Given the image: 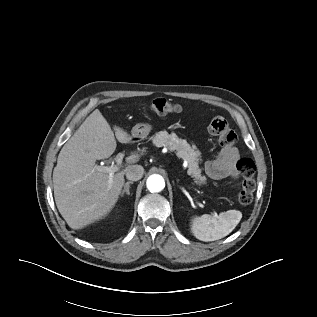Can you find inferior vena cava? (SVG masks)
<instances>
[{
	"label": "inferior vena cava",
	"mask_w": 317,
	"mask_h": 317,
	"mask_svg": "<svg viewBox=\"0 0 317 317\" xmlns=\"http://www.w3.org/2000/svg\"><path fill=\"white\" fill-rule=\"evenodd\" d=\"M144 168L141 165H131L126 169V178L137 181L143 177Z\"/></svg>",
	"instance_id": "inferior-vena-cava-1"
}]
</instances>
